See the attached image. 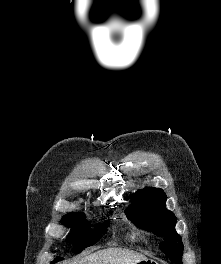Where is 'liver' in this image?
Here are the masks:
<instances>
[{
  "label": "liver",
  "mask_w": 221,
  "mask_h": 264,
  "mask_svg": "<svg viewBox=\"0 0 221 264\" xmlns=\"http://www.w3.org/2000/svg\"><path fill=\"white\" fill-rule=\"evenodd\" d=\"M144 259H147L146 256L134 251L109 248L65 264H137Z\"/></svg>",
  "instance_id": "1"
}]
</instances>
